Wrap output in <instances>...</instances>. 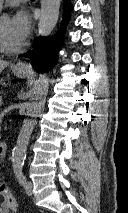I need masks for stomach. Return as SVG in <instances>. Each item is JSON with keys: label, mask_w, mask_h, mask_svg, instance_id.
I'll return each mask as SVG.
<instances>
[{"label": "stomach", "mask_w": 128, "mask_h": 213, "mask_svg": "<svg viewBox=\"0 0 128 213\" xmlns=\"http://www.w3.org/2000/svg\"><path fill=\"white\" fill-rule=\"evenodd\" d=\"M28 73V70H19V69H14V74L18 77H24Z\"/></svg>", "instance_id": "0dacf381"}]
</instances>
